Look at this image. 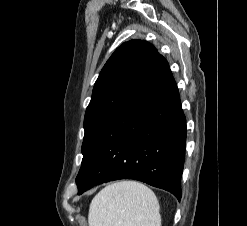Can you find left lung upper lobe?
<instances>
[{
  "instance_id": "left-lung-upper-lobe-1",
  "label": "left lung upper lobe",
  "mask_w": 247,
  "mask_h": 226,
  "mask_svg": "<svg viewBox=\"0 0 247 226\" xmlns=\"http://www.w3.org/2000/svg\"><path fill=\"white\" fill-rule=\"evenodd\" d=\"M158 56L156 48L147 41L131 40L118 47L108 59L95 82L85 113L82 164Z\"/></svg>"
}]
</instances>
